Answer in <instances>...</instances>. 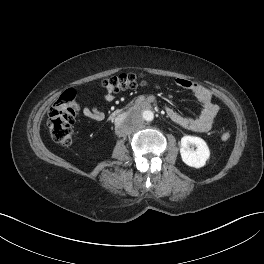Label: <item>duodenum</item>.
Wrapping results in <instances>:
<instances>
[{
    "label": "duodenum",
    "instance_id": "410a0bca",
    "mask_svg": "<svg viewBox=\"0 0 264 264\" xmlns=\"http://www.w3.org/2000/svg\"><path fill=\"white\" fill-rule=\"evenodd\" d=\"M135 105L136 108L140 110L149 109L153 107V99L145 97L144 99H139ZM128 114L129 113H121L120 111H115L113 112L112 117L114 118L119 115H122V117H126Z\"/></svg>",
    "mask_w": 264,
    "mask_h": 264
}]
</instances>
